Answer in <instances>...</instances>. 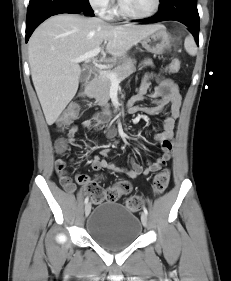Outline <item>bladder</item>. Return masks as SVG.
Masks as SVG:
<instances>
[{
  "label": "bladder",
  "instance_id": "obj_1",
  "mask_svg": "<svg viewBox=\"0 0 231 281\" xmlns=\"http://www.w3.org/2000/svg\"><path fill=\"white\" fill-rule=\"evenodd\" d=\"M90 238L107 250H121L133 244L142 232L139 218L121 204L100 203L87 219Z\"/></svg>",
  "mask_w": 231,
  "mask_h": 281
}]
</instances>
